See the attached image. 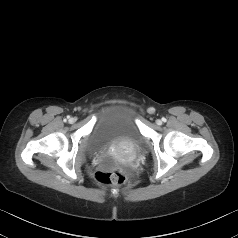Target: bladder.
I'll use <instances>...</instances> for the list:
<instances>
[{"instance_id":"1","label":"bladder","mask_w":238,"mask_h":238,"mask_svg":"<svg viewBox=\"0 0 238 238\" xmlns=\"http://www.w3.org/2000/svg\"><path fill=\"white\" fill-rule=\"evenodd\" d=\"M138 119L137 107L128 101H113L102 105L88 136V151L106 160L111 148L140 145L144 137Z\"/></svg>"}]
</instances>
